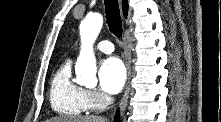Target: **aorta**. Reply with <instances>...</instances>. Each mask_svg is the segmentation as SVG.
<instances>
[{
	"label": "aorta",
	"mask_w": 221,
	"mask_h": 122,
	"mask_svg": "<svg viewBox=\"0 0 221 122\" xmlns=\"http://www.w3.org/2000/svg\"><path fill=\"white\" fill-rule=\"evenodd\" d=\"M102 25L103 17L99 13L89 14L80 24L82 47L76 62L75 72L77 83L86 87H93L97 84L96 59L92 51V45Z\"/></svg>",
	"instance_id": "aorta-1"
}]
</instances>
